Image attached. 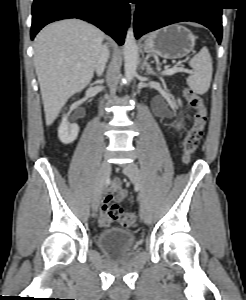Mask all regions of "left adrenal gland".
<instances>
[{
  "mask_svg": "<svg viewBox=\"0 0 246 300\" xmlns=\"http://www.w3.org/2000/svg\"><path fill=\"white\" fill-rule=\"evenodd\" d=\"M143 65L146 68V73L148 75H156V73L153 71L150 64L147 62V60H144Z\"/></svg>",
  "mask_w": 246,
  "mask_h": 300,
  "instance_id": "1",
  "label": "left adrenal gland"
}]
</instances>
